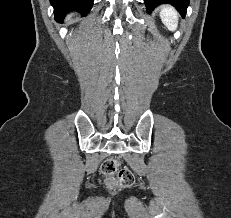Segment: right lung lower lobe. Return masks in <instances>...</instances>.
I'll use <instances>...</instances> for the list:
<instances>
[{
  "label": "right lung lower lobe",
  "mask_w": 231,
  "mask_h": 218,
  "mask_svg": "<svg viewBox=\"0 0 231 218\" xmlns=\"http://www.w3.org/2000/svg\"><path fill=\"white\" fill-rule=\"evenodd\" d=\"M94 0H50L54 7L55 18L61 21L66 13L71 10L79 11L82 14H87Z\"/></svg>",
  "instance_id": "right-lung-lower-lobe-1"
}]
</instances>
